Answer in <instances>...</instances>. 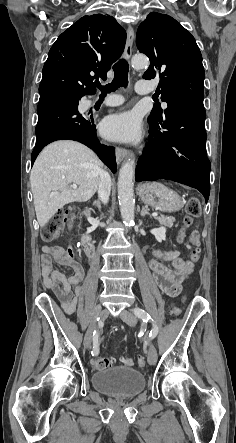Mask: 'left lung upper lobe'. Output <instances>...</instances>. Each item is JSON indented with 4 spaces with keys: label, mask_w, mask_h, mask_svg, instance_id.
<instances>
[{
    "label": "left lung upper lobe",
    "mask_w": 236,
    "mask_h": 443,
    "mask_svg": "<svg viewBox=\"0 0 236 443\" xmlns=\"http://www.w3.org/2000/svg\"><path fill=\"white\" fill-rule=\"evenodd\" d=\"M136 45L150 59L143 78L160 77L159 93L168 107L188 99L203 101L202 55L194 37L179 22L169 15L150 13L138 28ZM165 112L157 106L149 118L161 121Z\"/></svg>",
    "instance_id": "5c2ea615"
}]
</instances>
